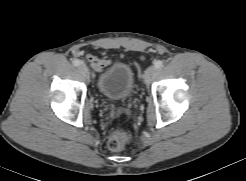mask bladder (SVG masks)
I'll return each instance as SVG.
<instances>
[{
  "label": "bladder",
  "instance_id": "obj_1",
  "mask_svg": "<svg viewBox=\"0 0 246 181\" xmlns=\"http://www.w3.org/2000/svg\"><path fill=\"white\" fill-rule=\"evenodd\" d=\"M135 77L130 66L116 61L99 74L96 87L101 96L112 101L129 99L134 91Z\"/></svg>",
  "mask_w": 246,
  "mask_h": 181
}]
</instances>
